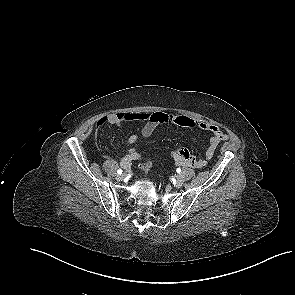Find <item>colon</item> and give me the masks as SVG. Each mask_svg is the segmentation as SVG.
<instances>
[{"label":"colon","instance_id":"5ec220e1","mask_svg":"<svg viewBox=\"0 0 295 295\" xmlns=\"http://www.w3.org/2000/svg\"><path fill=\"white\" fill-rule=\"evenodd\" d=\"M181 149V148H180ZM179 150V149H178ZM176 153V152H175ZM141 168L144 170V171H149V169L151 168V162L150 161H144L142 164H141Z\"/></svg>","mask_w":295,"mask_h":295}]
</instances>
